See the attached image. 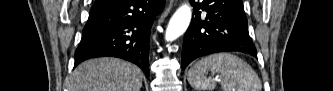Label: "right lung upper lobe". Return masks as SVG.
Segmentation results:
<instances>
[{
  "label": "right lung upper lobe",
  "mask_w": 333,
  "mask_h": 91,
  "mask_svg": "<svg viewBox=\"0 0 333 91\" xmlns=\"http://www.w3.org/2000/svg\"><path fill=\"white\" fill-rule=\"evenodd\" d=\"M103 1H106V0H96V2H103Z\"/></svg>",
  "instance_id": "obj_1"
}]
</instances>
